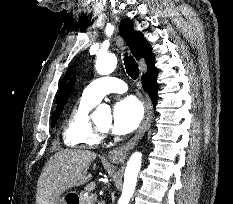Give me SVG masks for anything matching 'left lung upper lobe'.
I'll return each instance as SVG.
<instances>
[{"label": "left lung upper lobe", "mask_w": 233, "mask_h": 204, "mask_svg": "<svg viewBox=\"0 0 233 204\" xmlns=\"http://www.w3.org/2000/svg\"><path fill=\"white\" fill-rule=\"evenodd\" d=\"M74 83H75V77L71 78L70 82L68 83L61 99L59 100L58 102V105H57V110L53 113V116H52V126L55 125L61 111L63 110L70 94L72 93V90H73V87H74Z\"/></svg>", "instance_id": "5c2ea615"}]
</instances>
